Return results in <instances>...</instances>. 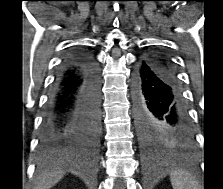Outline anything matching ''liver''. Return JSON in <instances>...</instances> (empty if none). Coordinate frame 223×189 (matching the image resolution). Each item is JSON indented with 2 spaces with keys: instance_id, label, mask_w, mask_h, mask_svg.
<instances>
[{
  "instance_id": "liver-1",
  "label": "liver",
  "mask_w": 223,
  "mask_h": 189,
  "mask_svg": "<svg viewBox=\"0 0 223 189\" xmlns=\"http://www.w3.org/2000/svg\"><path fill=\"white\" fill-rule=\"evenodd\" d=\"M63 170L53 171L49 173L42 174L36 180V185L34 189H49L55 184H57L64 175Z\"/></svg>"
}]
</instances>
